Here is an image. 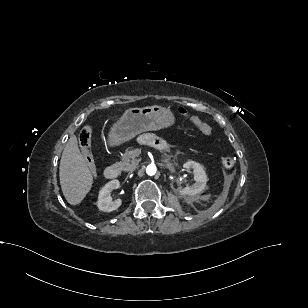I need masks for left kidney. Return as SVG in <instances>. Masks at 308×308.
Here are the masks:
<instances>
[{"label":"left kidney","mask_w":308,"mask_h":308,"mask_svg":"<svg viewBox=\"0 0 308 308\" xmlns=\"http://www.w3.org/2000/svg\"><path fill=\"white\" fill-rule=\"evenodd\" d=\"M185 169H193L195 183L192 186H186L179 190L181 196H194L204 191L207 183L206 172L199 163L194 161H188L184 163Z\"/></svg>","instance_id":"obj_1"}]
</instances>
